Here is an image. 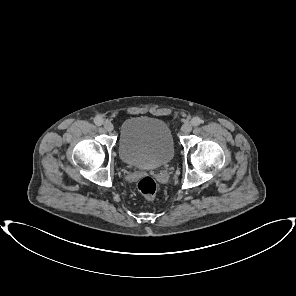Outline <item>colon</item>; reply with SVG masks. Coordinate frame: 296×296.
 <instances>
[{
    "instance_id": "obj_1",
    "label": "colon",
    "mask_w": 296,
    "mask_h": 296,
    "mask_svg": "<svg viewBox=\"0 0 296 296\" xmlns=\"http://www.w3.org/2000/svg\"><path fill=\"white\" fill-rule=\"evenodd\" d=\"M138 191L146 198L153 199L157 192L155 180L149 176L143 177L137 185Z\"/></svg>"
}]
</instances>
